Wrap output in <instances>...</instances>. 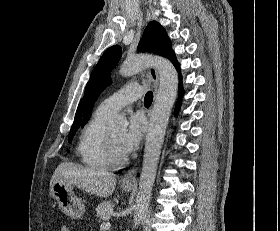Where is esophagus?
<instances>
[{
    "mask_svg": "<svg viewBox=\"0 0 280 231\" xmlns=\"http://www.w3.org/2000/svg\"><path fill=\"white\" fill-rule=\"evenodd\" d=\"M149 73V77L153 82L154 88H155V92L157 91L158 85H159V75H158V71L156 70V68H154V66H151L148 70ZM136 171V167H133L131 169H129L124 176L121 178V181H133L134 180V173Z\"/></svg>",
    "mask_w": 280,
    "mask_h": 231,
    "instance_id": "34e87169",
    "label": "esophagus"
}]
</instances>
